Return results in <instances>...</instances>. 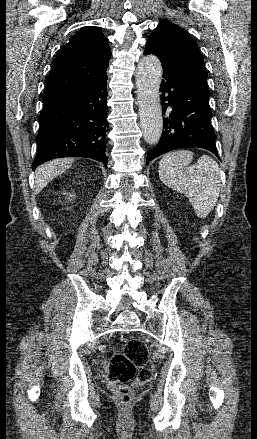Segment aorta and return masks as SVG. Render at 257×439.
<instances>
[{
    "instance_id": "762f6f07",
    "label": "aorta",
    "mask_w": 257,
    "mask_h": 439,
    "mask_svg": "<svg viewBox=\"0 0 257 439\" xmlns=\"http://www.w3.org/2000/svg\"><path fill=\"white\" fill-rule=\"evenodd\" d=\"M162 65L158 57L147 55L137 67V101L143 137L150 144H156L161 137L163 120L159 98Z\"/></svg>"
}]
</instances>
